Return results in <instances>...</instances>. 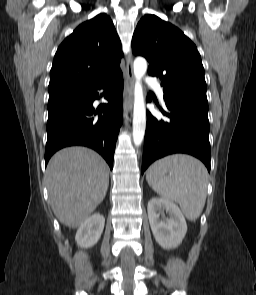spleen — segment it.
<instances>
[{
	"instance_id": "obj_1",
	"label": "spleen",
	"mask_w": 256,
	"mask_h": 295,
	"mask_svg": "<svg viewBox=\"0 0 256 295\" xmlns=\"http://www.w3.org/2000/svg\"><path fill=\"white\" fill-rule=\"evenodd\" d=\"M146 180L163 199L179 203L190 221L197 220L202 213L207 196L208 172L196 158L185 154L162 158L150 166Z\"/></svg>"
}]
</instances>
